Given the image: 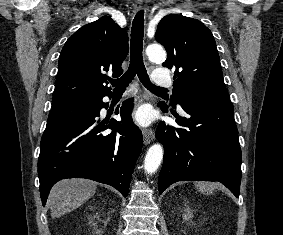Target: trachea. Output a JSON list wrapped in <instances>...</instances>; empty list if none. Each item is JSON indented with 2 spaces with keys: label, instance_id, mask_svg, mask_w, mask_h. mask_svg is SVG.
Listing matches in <instances>:
<instances>
[{
  "label": "trachea",
  "instance_id": "1",
  "mask_svg": "<svg viewBox=\"0 0 283 235\" xmlns=\"http://www.w3.org/2000/svg\"><path fill=\"white\" fill-rule=\"evenodd\" d=\"M143 35H144V10H140L134 17L131 28L130 65L122 77L110 80L115 90H124L137 75L142 84L151 92L166 91L165 88L155 86L150 82L143 63Z\"/></svg>",
  "mask_w": 283,
  "mask_h": 235
}]
</instances>
